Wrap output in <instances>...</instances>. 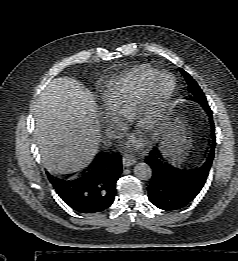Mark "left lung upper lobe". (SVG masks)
I'll list each match as a JSON object with an SVG mask.
<instances>
[{
  "instance_id": "obj_1",
  "label": "left lung upper lobe",
  "mask_w": 238,
  "mask_h": 261,
  "mask_svg": "<svg viewBox=\"0 0 238 261\" xmlns=\"http://www.w3.org/2000/svg\"><path fill=\"white\" fill-rule=\"evenodd\" d=\"M180 71L188 83V90L192 94L191 98L189 99L199 102L200 104H208L206 97L197 82L183 69L180 68Z\"/></svg>"
}]
</instances>
